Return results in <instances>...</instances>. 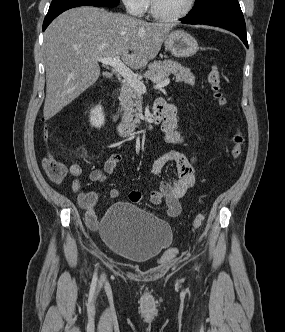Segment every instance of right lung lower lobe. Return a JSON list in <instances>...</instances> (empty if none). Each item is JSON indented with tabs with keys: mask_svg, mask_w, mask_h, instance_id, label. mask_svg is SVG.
I'll return each instance as SVG.
<instances>
[{
	"mask_svg": "<svg viewBox=\"0 0 285 332\" xmlns=\"http://www.w3.org/2000/svg\"><path fill=\"white\" fill-rule=\"evenodd\" d=\"M78 6H86V4H71V5H62V6H57V7H50L49 11H48V13H47V15H46V17L44 19V22H43V31H45V29L47 28V26L59 14H61L62 12L66 11V10H68L70 8H74V7H78Z\"/></svg>",
	"mask_w": 285,
	"mask_h": 332,
	"instance_id": "obj_1",
	"label": "right lung lower lobe"
}]
</instances>
